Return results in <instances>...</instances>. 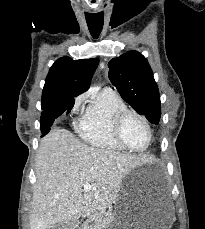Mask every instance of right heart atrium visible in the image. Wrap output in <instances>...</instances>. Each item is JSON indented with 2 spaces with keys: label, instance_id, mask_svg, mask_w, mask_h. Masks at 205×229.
<instances>
[{
  "label": "right heart atrium",
  "instance_id": "right-heart-atrium-1",
  "mask_svg": "<svg viewBox=\"0 0 205 229\" xmlns=\"http://www.w3.org/2000/svg\"><path fill=\"white\" fill-rule=\"evenodd\" d=\"M86 93H83L79 96H77L74 100V103H73V107H72V112L73 113H78L82 104L84 103L85 99H86Z\"/></svg>",
  "mask_w": 205,
  "mask_h": 229
}]
</instances>
